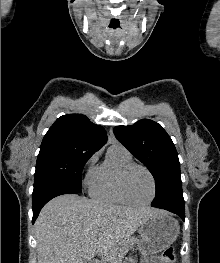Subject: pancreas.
Listing matches in <instances>:
<instances>
[{
	"mask_svg": "<svg viewBox=\"0 0 220 263\" xmlns=\"http://www.w3.org/2000/svg\"><path fill=\"white\" fill-rule=\"evenodd\" d=\"M138 242V239L135 237L129 238L125 244V246L123 247L122 252H125L126 250L132 248L134 246V244H136Z\"/></svg>",
	"mask_w": 220,
	"mask_h": 263,
	"instance_id": "cf45deb5",
	"label": "pancreas"
}]
</instances>
